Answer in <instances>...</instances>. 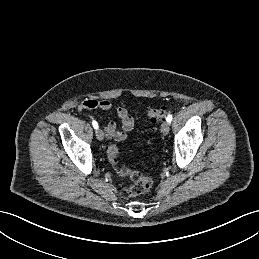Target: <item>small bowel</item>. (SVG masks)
<instances>
[{
  "label": "small bowel",
  "instance_id": "c3829d8e",
  "mask_svg": "<svg viewBox=\"0 0 259 259\" xmlns=\"http://www.w3.org/2000/svg\"><path fill=\"white\" fill-rule=\"evenodd\" d=\"M83 109L110 111L113 109V106L107 100L86 99L78 108L79 111ZM115 113L119 120V125L116 122L111 121L104 127V132L106 137L109 139L124 141L126 140L128 133L134 127V119L129 115L128 111L124 107H117L115 109Z\"/></svg>",
  "mask_w": 259,
  "mask_h": 259
}]
</instances>
